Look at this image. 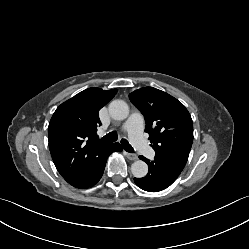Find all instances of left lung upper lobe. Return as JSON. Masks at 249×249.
I'll return each instance as SVG.
<instances>
[{"label":"left lung upper lobe","mask_w":249,"mask_h":249,"mask_svg":"<svg viewBox=\"0 0 249 249\" xmlns=\"http://www.w3.org/2000/svg\"><path fill=\"white\" fill-rule=\"evenodd\" d=\"M131 102L144 115L155 160L182 171L193 142V122L185 106L171 95L153 87L129 94Z\"/></svg>","instance_id":"5c2ea615"}]
</instances>
